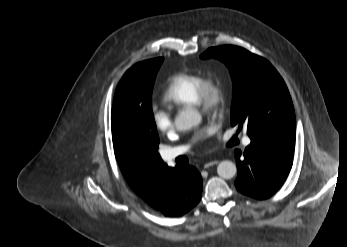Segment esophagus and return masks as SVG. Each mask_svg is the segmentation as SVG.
Instances as JSON below:
<instances>
[{"label": "esophagus", "mask_w": 347, "mask_h": 247, "mask_svg": "<svg viewBox=\"0 0 347 247\" xmlns=\"http://www.w3.org/2000/svg\"><path fill=\"white\" fill-rule=\"evenodd\" d=\"M218 162H219L218 160H210V161H207V162L204 164V168H205V169H208V168L211 167V166L217 165Z\"/></svg>", "instance_id": "34e87169"}]
</instances>
